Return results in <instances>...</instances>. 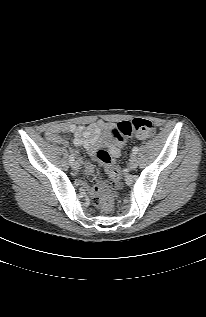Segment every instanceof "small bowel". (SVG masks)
<instances>
[{"mask_svg": "<svg viewBox=\"0 0 206 317\" xmlns=\"http://www.w3.org/2000/svg\"><path fill=\"white\" fill-rule=\"evenodd\" d=\"M110 130V125L103 120L87 126L74 124L52 125L46 130L45 137L53 143L66 145L68 144V140L62 133H71L74 136V145L84 148L91 157H96V151L101 148H108L112 157H118L120 148L111 142ZM84 171L85 174L91 175L93 173V166L90 163H86ZM98 193L97 186L89 189V195L95 201L98 199Z\"/></svg>", "mask_w": 206, "mask_h": 317, "instance_id": "c3829d8e", "label": "small bowel"}]
</instances>
